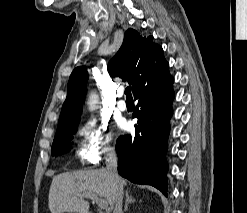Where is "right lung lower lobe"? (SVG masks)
Instances as JSON below:
<instances>
[{
	"mask_svg": "<svg viewBox=\"0 0 247 213\" xmlns=\"http://www.w3.org/2000/svg\"><path fill=\"white\" fill-rule=\"evenodd\" d=\"M173 78L168 67L134 91L138 100L135 136L117 140L118 173L136 184H149L167 196L166 162Z\"/></svg>",
	"mask_w": 247,
	"mask_h": 213,
	"instance_id": "right-lung-lower-lobe-1",
	"label": "right lung lower lobe"
}]
</instances>
